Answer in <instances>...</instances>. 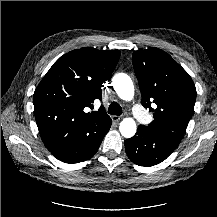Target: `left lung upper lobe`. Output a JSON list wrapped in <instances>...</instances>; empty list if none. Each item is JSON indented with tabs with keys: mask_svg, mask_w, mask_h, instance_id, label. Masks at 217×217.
I'll use <instances>...</instances> for the list:
<instances>
[{
	"mask_svg": "<svg viewBox=\"0 0 217 217\" xmlns=\"http://www.w3.org/2000/svg\"><path fill=\"white\" fill-rule=\"evenodd\" d=\"M132 59L142 104L154 111V120L143 127L179 143L196 100L190 75L169 54L155 47L134 51ZM152 102L157 106L155 110Z\"/></svg>",
	"mask_w": 217,
	"mask_h": 217,
	"instance_id": "left-lung-upper-lobe-1",
	"label": "left lung upper lobe"
}]
</instances>
